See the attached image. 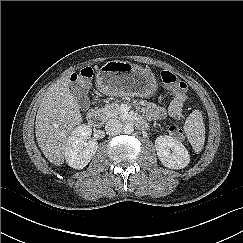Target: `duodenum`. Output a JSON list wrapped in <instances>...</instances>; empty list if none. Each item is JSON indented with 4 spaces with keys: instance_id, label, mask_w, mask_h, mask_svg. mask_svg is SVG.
<instances>
[{
    "instance_id": "410a0bca",
    "label": "duodenum",
    "mask_w": 243,
    "mask_h": 243,
    "mask_svg": "<svg viewBox=\"0 0 243 243\" xmlns=\"http://www.w3.org/2000/svg\"><path fill=\"white\" fill-rule=\"evenodd\" d=\"M133 121L139 126L140 129L144 130L147 128V124L143 119L136 117L133 119ZM87 122H88V124H90L91 126H94V127L101 125L102 116H101L100 111L97 109H91L87 113Z\"/></svg>"
}]
</instances>
